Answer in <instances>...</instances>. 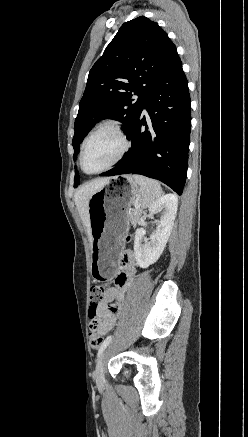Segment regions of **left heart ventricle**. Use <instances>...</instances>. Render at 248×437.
Masks as SVG:
<instances>
[{"label": "left heart ventricle", "mask_w": 248, "mask_h": 437, "mask_svg": "<svg viewBox=\"0 0 248 437\" xmlns=\"http://www.w3.org/2000/svg\"><path fill=\"white\" fill-rule=\"evenodd\" d=\"M122 148L118 135L111 130H103L94 135L87 143L84 153V165L88 172L98 171L112 162Z\"/></svg>", "instance_id": "left-heart-ventricle-1"}]
</instances>
